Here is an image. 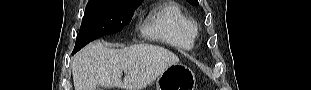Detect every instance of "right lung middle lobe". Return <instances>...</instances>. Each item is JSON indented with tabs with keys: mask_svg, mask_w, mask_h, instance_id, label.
Instances as JSON below:
<instances>
[{
	"mask_svg": "<svg viewBox=\"0 0 311 90\" xmlns=\"http://www.w3.org/2000/svg\"><path fill=\"white\" fill-rule=\"evenodd\" d=\"M140 4L141 1L90 0L85 9L74 52L101 36L120 32L129 24L135 8Z\"/></svg>",
	"mask_w": 311,
	"mask_h": 90,
	"instance_id": "1",
	"label": "right lung middle lobe"
}]
</instances>
